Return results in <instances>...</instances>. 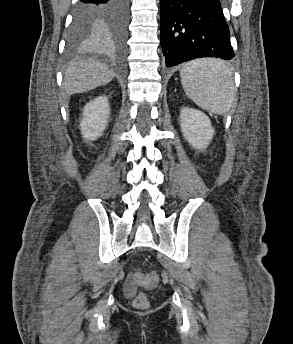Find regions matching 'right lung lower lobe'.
<instances>
[{
  "label": "right lung lower lobe",
  "instance_id": "1",
  "mask_svg": "<svg viewBox=\"0 0 293 344\" xmlns=\"http://www.w3.org/2000/svg\"><path fill=\"white\" fill-rule=\"evenodd\" d=\"M128 0H79L78 11L89 14L95 22L92 44L99 48L123 50L128 22Z\"/></svg>",
  "mask_w": 293,
  "mask_h": 344
}]
</instances>
